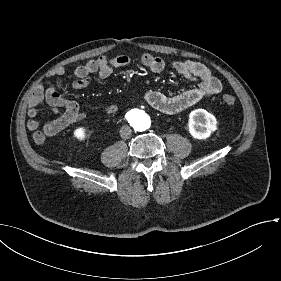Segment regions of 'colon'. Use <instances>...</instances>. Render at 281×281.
<instances>
[{
  "mask_svg": "<svg viewBox=\"0 0 281 281\" xmlns=\"http://www.w3.org/2000/svg\"><path fill=\"white\" fill-rule=\"evenodd\" d=\"M236 99L234 96L231 95H225L223 96V103L226 105H233L235 103Z\"/></svg>",
  "mask_w": 281,
  "mask_h": 281,
  "instance_id": "1",
  "label": "colon"
}]
</instances>
